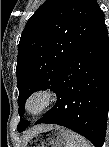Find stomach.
Masks as SVG:
<instances>
[{
  "mask_svg": "<svg viewBox=\"0 0 109 147\" xmlns=\"http://www.w3.org/2000/svg\"><path fill=\"white\" fill-rule=\"evenodd\" d=\"M69 130L49 125L26 139L23 147H67Z\"/></svg>",
  "mask_w": 109,
  "mask_h": 147,
  "instance_id": "1",
  "label": "stomach"
}]
</instances>
